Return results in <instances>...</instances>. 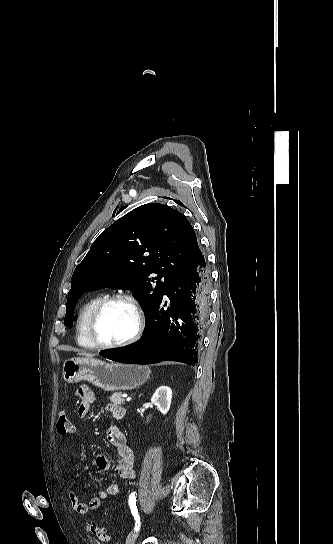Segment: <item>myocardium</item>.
<instances>
[{"label": "myocardium", "instance_id": "myocardium-1", "mask_svg": "<svg viewBox=\"0 0 333 544\" xmlns=\"http://www.w3.org/2000/svg\"><path fill=\"white\" fill-rule=\"evenodd\" d=\"M123 301L131 306L136 317L134 332L127 339L117 343H103L97 336V324L104 309L111 303ZM145 327V315L139 302L126 293H116L103 297L91 312L87 323V335L92 344L99 349H118L135 343L143 333Z\"/></svg>", "mask_w": 333, "mask_h": 544}]
</instances>
